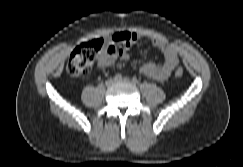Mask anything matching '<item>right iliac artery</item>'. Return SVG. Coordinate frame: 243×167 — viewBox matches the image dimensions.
Returning <instances> with one entry per match:
<instances>
[{
	"label": "right iliac artery",
	"mask_w": 243,
	"mask_h": 167,
	"mask_svg": "<svg viewBox=\"0 0 243 167\" xmlns=\"http://www.w3.org/2000/svg\"><path fill=\"white\" fill-rule=\"evenodd\" d=\"M122 79V75L121 74H116L115 75V80H121Z\"/></svg>",
	"instance_id": "right-iliac-artery-1"
}]
</instances>
